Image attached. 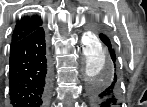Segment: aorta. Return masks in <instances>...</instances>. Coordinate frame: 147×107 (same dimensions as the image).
Instances as JSON below:
<instances>
[{"label": "aorta", "mask_w": 147, "mask_h": 107, "mask_svg": "<svg viewBox=\"0 0 147 107\" xmlns=\"http://www.w3.org/2000/svg\"><path fill=\"white\" fill-rule=\"evenodd\" d=\"M82 49L86 62L85 73L89 80L103 81L110 78L113 73L112 62L99 40L87 34L83 39Z\"/></svg>", "instance_id": "762f6f07"}]
</instances>
